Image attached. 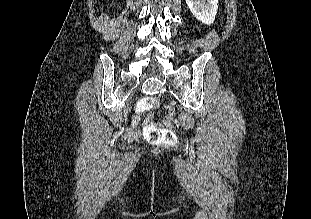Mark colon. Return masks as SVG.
Returning a JSON list of instances; mask_svg holds the SVG:
<instances>
[{"label":"colon","mask_w":311,"mask_h":219,"mask_svg":"<svg viewBox=\"0 0 311 219\" xmlns=\"http://www.w3.org/2000/svg\"><path fill=\"white\" fill-rule=\"evenodd\" d=\"M159 106L158 100L149 96L138 103L137 110L139 112H152L159 109ZM143 136L152 144L173 145L177 141V136L173 130L160 127L152 121L145 125Z\"/></svg>","instance_id":"1"}]
</instances>
